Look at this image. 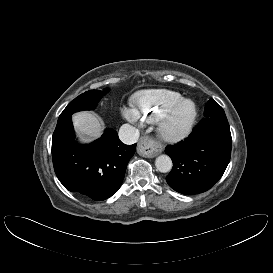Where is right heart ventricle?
<instances>
[{"mask_svg":"<svg viewBox=\"0 0 273 273\" xmlns=\"http://www.w3.org/2000/svg\"><path fill=\"white\" fill-rule=\"evenodd\" d=\"M183 96L168 89H151L137 92L132 97V105L144 122L155 123Z\"/></svg>","mask_w":273,"mask_h":273,"instance_id":"e07e8e85","label":"right heart ventricle"}]
</instances>
